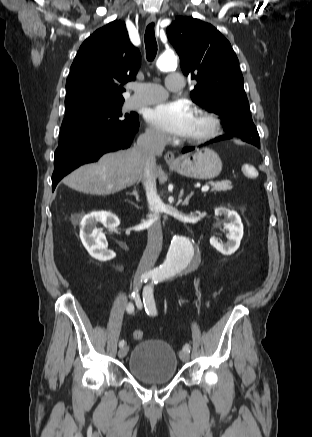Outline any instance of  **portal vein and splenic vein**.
Listing matches in <instances>:
<instances>
[{
    "label": "portal vein and splenic vein",
    "mask_w": 312,
    "mask_h": 437,
    "mask_svg": "<svg viewBox=\"0 0 312 437\" xmlns=\"http://www.w3.org/2000/svg\"><path fill=\"white\" fill-rule=\"evenodd\" d=\"M209 188L210 187L208 185H206V186H203L201 190H202V192H206L209 190Z\"/></svg>",
    "instance_id": "1"
}]
</instances>
